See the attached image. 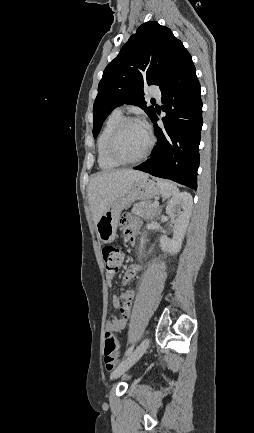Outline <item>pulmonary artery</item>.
Listing matches in <instances>:
<instances>
[{"instance_id":"pulmonary-artery-1","label":"pulmonary artery","mask_w":254,"mask_h":433,"mask_svg":"<svg viewBox=\"0 0 254 433\" xmlns=\"http://www.w3.org/2000/svg\"><path fill=\"white\" fill-rule=\"evenodd\" d=\"M149 94L152 95V96L155 97V98H158V99L161 98V92H160V89L157 88V87H154V86L151 87V88L149 89ZM116 112H121V109H116Z\"/></svg>"}]
</instances>
